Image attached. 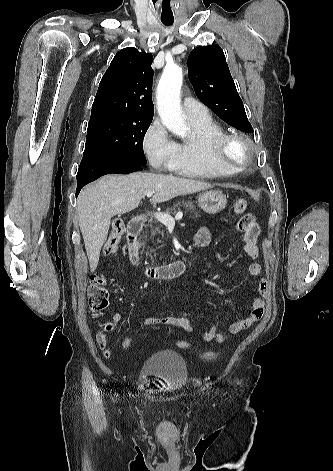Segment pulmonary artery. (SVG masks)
<instances>
[{
    "mask_svg": "<svg viewBox=\"0 0 333 471\" xmlns=\"http://www.w3.org/2000/svg\"><path fill=\"white\" fill-rule=\"evenodd\" d=\"M183 109L188 119H197L208 114L207 107L200 101L186 97L183 101Z\"/></svg>",
    "mask_w": 333,
    "mask_h": 471,
    "instance_id": "pulmonary-artery-1",
    "label": "pulmonary artery"
}]
</instances>
